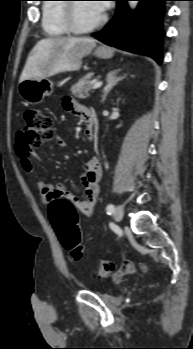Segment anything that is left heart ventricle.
Listing matches in <instances>:
<instances>
[{"mask_svg":"<svg viewBox=\"0 0 193 349\" xmlns=\"http://www.w3.org/2000/svg\"><path fill=\"white\" fill-rule=\"evenodd\" d=\"M102 14L97 12L91 3L81 2L76 7V19L80 26H88L95 22Z\"/></svg>","mask_w":193,"mask_h":349,"instance_id":"left-heart-ventricle-1","label":"left heart ventricle"}]
</instances>
